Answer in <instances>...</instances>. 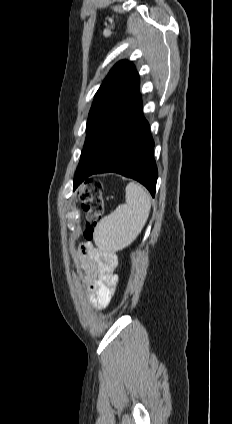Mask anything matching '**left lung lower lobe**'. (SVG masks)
Segmentation results:
<instances>
[{
  "mask_svg": "<svg viewBox=\"0 0 232 424\" xmlns=\"http://www.w3.org/2000/svg\"><path fill=\"white\" fill-rule=\"evenodd\" d=\"M153 148L138 92L95 138L83 167L75 174L73 189L92 174L116 172L139 181L154 197L157 167Z\"/></svg>",
  "mask_w": 232,
  "mask_h": 424,
  "instance_id": "obj_1",
  "label": "left lung lower lobe"
}]
</instances>
